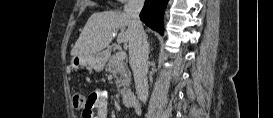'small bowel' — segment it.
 Listing matches in <instances>:
<instances>
[{"instance_id":"1","label":"small bowel","mask_w":273,"mask_h":118,"mask_svg":"<svg viewBox=\"0 0 273 118\" xmlns=\"http://www.w3.org/2000/svg\"><path fill=\"white\" fill-rule=\"evenodd\" d=\"M107 97L108 94L105 91L97 90L91 93L88 97L87 109L83 112V118H93L94 111L96 118L107 117Z\"/></svg>"}]
</instances>
